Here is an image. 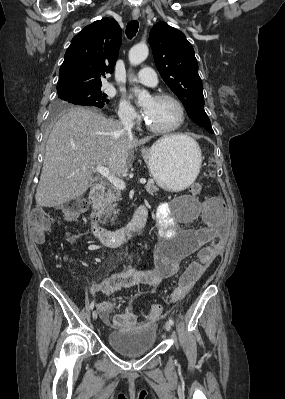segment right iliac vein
<instances>
[{"label": "right iliac vein", "mask_w": 285, "mask_h": 399, "mask_svg": "<svg viewBox=\"0 0 285 399\" xmlns=\"http://www.w3.org/2000/svg\"><path fill=\"white\" fill-rule=\"evenodd\" d=\"M97 317H98V312H97V310H94L93 313H92V318H93L94 320H96Z\"/></svg>", "instance_id": "63e3f726"}]
</instances>
